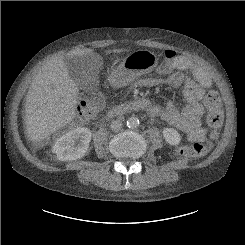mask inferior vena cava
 Returning <instances> with one entry per match:
<instances>
[{
	"instance_id": "inferior-vena-cava-1",
	"label": "inferior vena cava",
	"mask_w": 245,
	"mask_h": 245,
	"mask_svg": "<svg viewBox=\"0 0 245 245\" xmlns=\"http://www.w3.org/2000/svg\"><path fill=\"white\" fill-rule=\"evenodd\" d=\"M110 128L112 131L118 132L122 128V122L120 120H114L111 122Z\"/></svg>"
}]
</instances>
